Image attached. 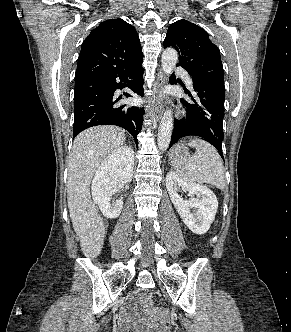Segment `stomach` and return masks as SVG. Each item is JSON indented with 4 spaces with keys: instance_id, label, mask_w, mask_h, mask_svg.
Wrapping results in <instances>:
<instances>
[{
    "instance_id": "0dacf381",
    "label": "stomach",
    "mask_w": 291,
    "mask_h": 332,
    "mask_svg": "<svg viewBox=\"0 0 291 332\" xmlns=\"http://www.w3.org/2000/svg\"><path fill=\"white\" fill-rule=\"evenodd\" d=\"M190 158L188 148L185 144H177L171 152V159L173 160H187Z\"/></svg>"
}]
</instances>
